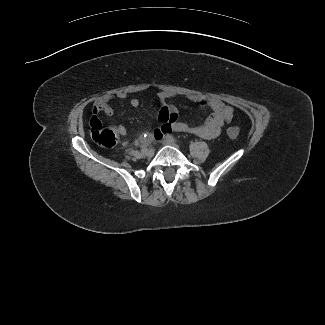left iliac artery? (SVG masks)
Here are the masks:
<instances>
[{
	"label": "left iliac artery",
	"instance_id": "1",
	"mask_svg": "<svg viewBox=\"0 0 325 325\" xmlns=\"http://www.w3.org/2000/svg\"><path fill=\"white\" fill-rule=\"evenodd\" d=\"M166 138H168L169 140H172V141H174V142H177V141H178V140H177L174 136H172V135H167Z\"/></svg>",
	"mask_w": 325,
	"mask_h": 325
}]
</instances>
